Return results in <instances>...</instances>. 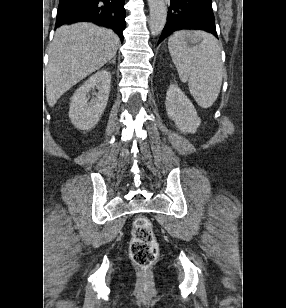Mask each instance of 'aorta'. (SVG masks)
Here are the masks:
<instances>
[{"instance_id":"obj_1","label":"aorta","mask_w":286,"mask_h":308,"mask_svg":"<svg viewBox=\"0 0 286 308\" xmlns=\"http://www.w3.org/2000/svg\"><path fill=\"white\" fill-rule=\"evenodd\" d=\"M150 11V32L152 36L159 35L167 21V6L165 0H148Z\"/></svg>"}]
</instances>
